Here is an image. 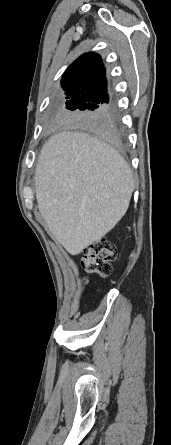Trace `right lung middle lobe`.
<instances>
[{
  "label": "right lung middle lobe",
  "instance_id": "right-lung-middle-lobe-1",
  "mask_svg": "<svg viewBox=\"0 0 171 445\" xmlns=\"http://www.w3.org/2000/svg\"><path fill=\"white\" fill-rule=\"evenodd\" d=\"M65 95L66 102L64 106L60 107L57 119L105 136L100 125V118L110 106V103L99 96L89 94L65 92Z\"/></svg>",
  "mask_w": 171,
  "mask_h": 445
}]
</instances>
